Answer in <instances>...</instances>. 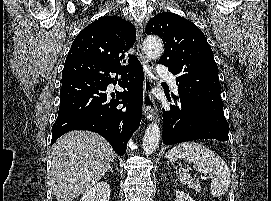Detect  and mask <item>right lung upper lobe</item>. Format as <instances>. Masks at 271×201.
Instances as JSON below:
<instances>
[{"label":"right lung upper lobe","instance_id":"1","mask_svg":"<svg viewBox=\"0 0 271 201\" xmlns=\"http://www.w3.org/2000/svg\"><path fill=\"white\" fill-rule=\"evenodd\" d=\"M135 39V27L130 22L119 17L104 16L77 35L66 59L84 57L109 66H123L121 63L125 52L133 46ZM128 56V65L138 62L135 56Z\"/></svg>","mask_w":271,"mask_h":201}]
</instances>
